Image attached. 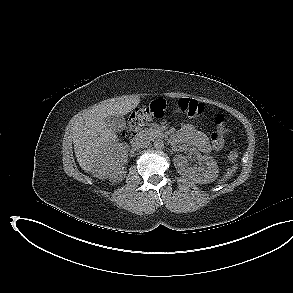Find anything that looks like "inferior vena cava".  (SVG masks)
<instances>
[{"instance_id": "602c4592", "label": "inferior vena cava", "mask_w": 293, "mask_h": 293, "mask_svg": "<svg viewBox=\"0 0 293 293\" xmlns=\"http://www.w3.org/2000/svg\"><path fill=\"white\" fill-rule=\"evenodd\" d=\"M150 145V141L146 139H140L139 141H136L133 145L134 149H142L146 148Z\"/></svg>"}]
</instances>
